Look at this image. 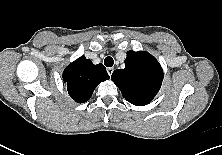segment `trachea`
<instances>
[{"label": "trachea", "mask_w": 222, "mask_h": 155, "mask_svg": "<svg viewBox=\"0 0 222 155\" xmlns=\"http://www.w3.org/2000/svg\"><path fill=\"white\" fill-rule=\"evenodd\" d=\"M104 64L106 67H112L114 64V60L112 57L108 56L104 59Z\"/></svg>", "instance_id": "3493384b"}]
</instances>
